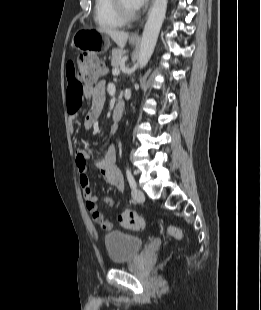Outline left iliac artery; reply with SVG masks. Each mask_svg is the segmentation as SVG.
<instances>
[{
	"label": "left iliac artery",
	"instance_id": "left-iliac-artery-1",
	"mask_svg": "<svg viewBox=\"0 0 261 310\" xmlns=\"http://www.w3.org/2000/svg\"><path fill=\"white\" fill-rule=\"evenodd\" d=\"M126 176H127V180L129 182V185L132 189H136L137 185H136V181L131 173V171L127 168L126 169Z\"/></svg>",
	"mask_w": 261,
	"mask_h": 310
}]
</instances>
